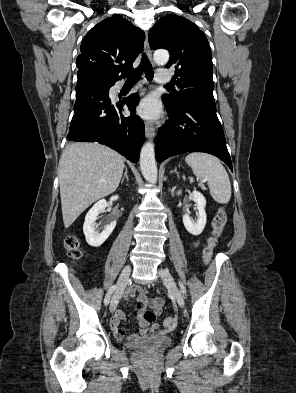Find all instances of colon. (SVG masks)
Returning a JSON list of instances; mask_svg holds the SVG:
<instances>
[{
    "label": "colon",
    "instance_id": "colon-1",
    "mask_svg": "<svg viewBox=\"0 0 296 393\" xmlns=\"http://www.w3.org/2000/svg\"><path fill=\"white\" fill-rule=\"evenodd\" d=\"M227 222V215L224 208H219L212 223V235L208 240L207 245L203 250V257L205 262H209L211 259L213 250L218 242V239L222 235L225 225ZM65 247L68 251V254L73 259H78L81 257V250L79 248V241L74 236H68L65 239ZM137 311L140 314L141 318L149 323L152 324L155 322L156 314L151 310H147L144 308L141 302L137 304ZM164 326L167 329H173L176 326V321L172 318H167L164 321Z\"/></svg>",
    "mask_w": 296,
    "mask_h": 393
}]
</instances>
